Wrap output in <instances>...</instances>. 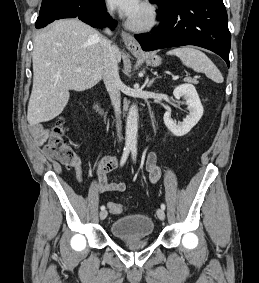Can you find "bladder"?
<instances>
[{
    "label": "bladder",
    "mask_w": 259,
    "mask_h": 283,
    "mask_svg": "<svg viewBox=\"0 0 259 283\" xmlns=\"http://www.w3.org/2000/svg\"><path fill=\"white\" fill-rule=\"evenodd\" d=\"M154 230L152 220L140 214L117 219L111 225V234L120 239H137L151 236Z\"/></svg>",
    "instance_id": "obj_1"
}]
</instances>
